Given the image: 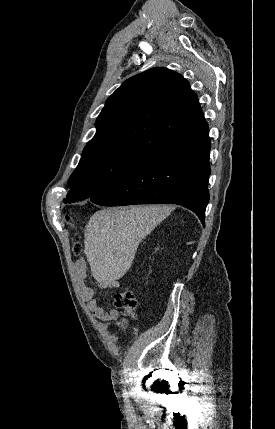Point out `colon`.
Here are the masks:
<instances>
[{"mask_svg": "<svg viewBox=\"0 0 275 429\" xmlns=\"http://www.w3.org/2000/svg\"><path fill=\"white\" fill-rule=\"evenodd\" d=\"M67 222L71 223L70 217H67ZM75 256L80 257L81 248L79 244H75L73 248ZM115 305L121 309L125 315H132L137 307V300L134 293L129 289H124L115 295ZM124 327V324H121Z\"/></svg>", "mask_w": 275, "mask_h": 429, "instance_id": "5ec220e1", "label": "colon"}]
</instances>
